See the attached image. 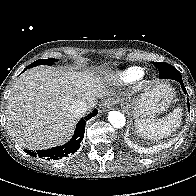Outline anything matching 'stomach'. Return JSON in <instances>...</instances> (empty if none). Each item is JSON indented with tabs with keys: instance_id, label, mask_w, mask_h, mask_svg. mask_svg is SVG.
Instances as JSON below:
<instances>
[{
	"instance_id": "stomach-1",
	"label": "stomach",
	"mask_w": 196,
	"mask_h": 196,
	"mask_svg": "<svg viewBox=\"0 0 196 196\" xmlns=\"http://www.w3.org/2000/svg\"><path fill=\"white\" fill-rule=\"evenodd\" d=\"M173 89L166 82L154 81L146 90L126 104L135 117H152L166 111L173 102Z\"/></svg>"
}]
</instances>
